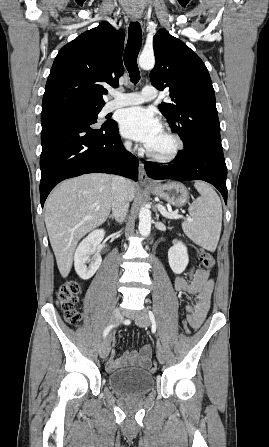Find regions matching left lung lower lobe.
I'll return each mask as SVG.
<instances>
[{
	"label": "left lung lower lobe",
	"instance_id": "0a47b994",
	"mask_svg": "<svg viewBox=\"0 0 269 447\" xmlns=\"http://www.w3.org/2000/svg\"><path fill=\"white\" fill-rule=\"evenodd\" d=\"M169 166L146 164L145 170L153 179L203 180L214 185L227 204V168L219 144L198 145L189 153L180 152Z\"/></svg>",
	"mask_w": 269,
	"mask_h": 447
}]
</instances>
